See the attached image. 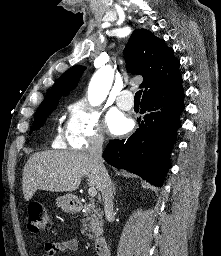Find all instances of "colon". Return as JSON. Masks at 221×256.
<instances>
[{
    "instance_id": "1",
    "label": "colon",
    "mask_w": 221,
    "mask_h": 256,
    "mask_svg": "<svg viewBox=\"0 0 221 256\" xmlns=\"http://www.w3.org/2000/svg\"><path fill=\"white\" fill-rule=\"evenodd\" d=\"M51 227L50 216L40 202H31L28 206V228L33 233L49 230Z\"/></svg>"
}]
</instances>
